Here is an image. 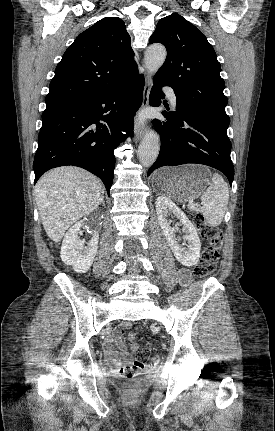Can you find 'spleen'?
<instances>
[{"mask_svg":"<svg viewBox=\"0 0 275 431\" xmlns=\"http://www.w3.org/2000/svg\"><path fill=\"white\" fill-rule=\"evenodd\" d=\"M229 201V188L223 177L217 173L213 174L212 182L202 193V206L190 204L188 207L194 211L201 212L210 226L221 224Z\"/></svg>","mask_w":275,"mask_h":431,"instance_id":"1","label":"spleen"}]
</instances>
